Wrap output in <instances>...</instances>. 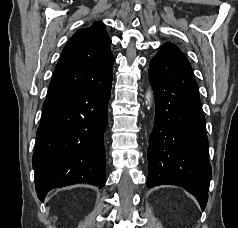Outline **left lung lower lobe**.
<instances>
[{
	"instance_id": "1",
	"label": "left lung lower lobe",
	"mask_w": 238,
	"mask_h": 228,
	"mask_svg": "<svg viewBox=\"0 0 238 228\" xmlns=\"http://www.w3.org/2000/svg\"><path fill=\"white\" fill-rule=\"evenodd\" d=\"M156 114L148 147L147 187L177 185L196 197L202 210L212 177L205 117L187 58L160 48L150 61Z\"/></svg>"
}]
</instances>
